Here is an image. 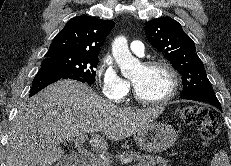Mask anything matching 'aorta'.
Listing matches in <instances>:
<instances>
[{
  "label": "aorta",
  "instance_id": "obj_1",
  "mask_svg": "<svg viewBox=\"0 0 231 166\" xmlns=\"http://www.w3.org/2000/svg\"><path fill=\"white\" fill-rule=\"evenodd\" d=\"M112 54L125 77L131 76L141 67L140 61L129 51L127 39L124 36H119L113 41Z\"/></svg>",
  "mask_w": 231,
  "mask_h": 166
}]
</instances>
